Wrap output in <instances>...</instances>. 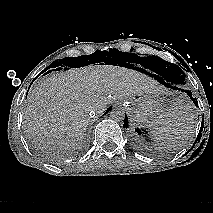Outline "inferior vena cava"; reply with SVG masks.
I'll list each match as a JSON object with an SVG mask.
<instances>
[{"label": "inferior vena cava", "instance_id": "obj_1", "mask_svg": "<svg viewBox=\"0 0 213 213\" xmlns=\"http://www.w3.org/2000/svg\"><path fill=\"white\" fill-rule=\"evenodd\" d=\"M88 116L90 117V118H97V113H95L94 111H90L89 113H88Z\"/></svg>", "mask_w": 213, "mask_h": 213}]
</instances>
